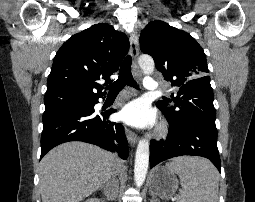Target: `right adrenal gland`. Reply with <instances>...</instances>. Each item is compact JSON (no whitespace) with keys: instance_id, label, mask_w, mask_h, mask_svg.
<instances>
[{"instance_id":"obj_1","label":"right adrenal gland","mask_w":255,"mask_h":202,"mask_svg":"<svg viewBox=\"0 0 255 202\" xmlns=\"http://www.w3.org/2000/svg\"><path fill=\"white\" fill-rule=\"evenodd\" d=\"M102 189H103V191H104V195L107 197L108 200H113V199H114V198H112V197H110V196L108 195V193L106 192V190H105L104 187H101V188H100V190H102Z\"/></svg>"}]
</instances>
